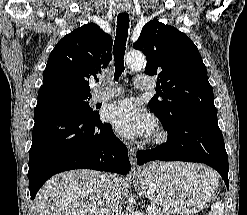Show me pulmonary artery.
I'll return each mask as SVG.
<instances>
[{"mask_svg":"<svg viewBox=\"0 0 247 215\" xmlns=\"http://www.w3.org/2000/svg\"><path fill=\"white\" fill-rule=\"evenodd\" d=\"M135 85L139 89H150L153 86V78L147 75H140L135 78ZM122 93L117 87H108L101 83L99 89L94 93L93 100L96 102L112 99Z\"/></svg>","mask_w":247,"mask_h":215,"instance_id":"pulmonary-artery-1","label":"pulmonary artery"}]
</instances>
